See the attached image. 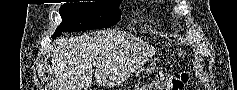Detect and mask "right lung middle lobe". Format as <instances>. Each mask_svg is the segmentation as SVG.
I'll return each instance as SVG.
<instances>
[{"label": "right lung middle lobe", "mask_w": 237, "mask_h": 90, "mask_svg": "<svg viewBox=\"0 0 237 90\" xmlns=\"http://www.w3.org/2000/svg\"><path fill=\"white\" fill-rule=\"evenodd\" d=\"M121 0H102L95 2L65 3L59 13L62 23L57 27L52 38L62 32L85 31L109 28L119 20L118 6Z\"/></svg>", "instance_id": "right-lung-middle-lobe-1"}]
</instances>
